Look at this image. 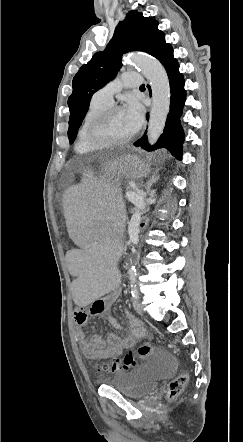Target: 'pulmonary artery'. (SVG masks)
Instances as JSON below:
<instances>
[{"label":"pulmonary artery","mask_w":243,"mask_h":442,"mask_svg":"<svg viewBox=\"0 0 243 442\" xmlns=\"http://www.w3.org/2000/svg\"><path fill=\"white\" fill-rule=\"evenodd\" d=\"M142 83L141 74L137 72H125L119 78L109 82L94 94V99L108 104H113V95L122 88L138 87Z\"/></svg>","instance_id":"1"}]
</instances>
